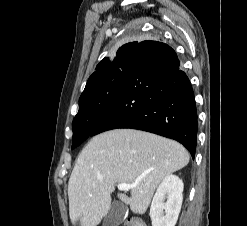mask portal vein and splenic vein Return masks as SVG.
<instances>
[{"label":"portal vein and splenic vein","instance_id":"18ae733b","mask_svg":"<svg viewBox=\"0 0 247 226\" xmlns=\"http://www.w3.org/2000/svg\"><path fill=\"white\" fill-rule=\"evenodd\" d=\"M136 184H133V185H129V184H125V183H121V184H118V190L120 191H129L131 188L135 187Z\"/></svg>","mask_w":247,"mask_h":226}]
</instances>
